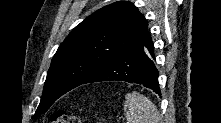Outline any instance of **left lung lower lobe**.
<instances>
[{
	"mask_svg": "<svg viewBox=\"0 0 221 123\" xmlns=\"http://www.w3.org/2000/svg\"><path fill=\"white\" fill-rule=\"evenodd\" d=\"M113 80L141 84L160 95L153 42L148 32L98 69L83 84Z\"/></svg>",
	"mask_w": 221,
	"mask_h": 123,
	"instance_id": "1",
	"label": "left lung lower lobe"
}]
</instances>
